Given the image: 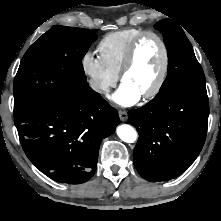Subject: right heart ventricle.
<instances>
[{
	"instance_id": "1",
	"label": "right heart ventricle",
	"mask_w": 221,
	"mask_h": 221,
	"mask_svg": "<svg viewBox=\"0 0 221 221\" xmlns=\"http://www.w3.org/2000/svg\"><path fill=\"white\" fill-rule=\"evenodd\" d=\"M142 32L141 29L127 28L110 32L101 39L97 50L112 72L119 74L129 45Z\"/></svg>"
}]
</instances>
